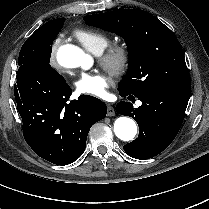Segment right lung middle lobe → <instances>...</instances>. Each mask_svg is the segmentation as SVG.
Listing matches in <instances>:
<instances>
[{"label": "right lung middle lobe", "mask_w": 209, "mask_h": 209, "mask_svg": "<svg viewBox=\"0 0 209 209\" xmlns=\"http://www.w3.org/2000/svg\"><path fill=\"white\" fill-rule=\"evenodd\" d=\"M65 19L51 20L39 27L23 44L18 65L17 74L25 70H35L42 74L60 77V74L51 68L49 61L51 56V44L63 27Z\"/></svg>", "instance_id": "obj_1"}]
</instances>
